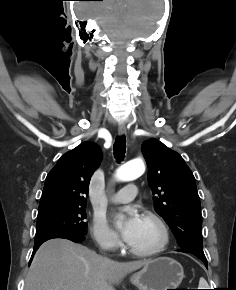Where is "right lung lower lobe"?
<instances>
[{
    "label": "right lung lower lobe",
    "mask_w": 236,
    "mask_h": 290,
    "mask_svg": "<svg viewBox=\"0 0 236 290\" xmlns=\"http://www.w3.org/2000/svg\"><path fill=\"white\" fill-rule=\"evenodd\" d=\"M53 238H64V239H68V240H71V241L77 242V243L82 242L85 239V237L84 236H81V235H56V236H52V237H49V238H46V239H43V240H40V241H36L35 244H34V249H33L32 257H31L29 263H31L32 258L34 256L35 252L37 251V249L39 248V246L43 242H45V241H47L49 239H53Z\"/></svg>",
    "instance_id": "right-lung-lower-lobe-1"
}]
</instances>
